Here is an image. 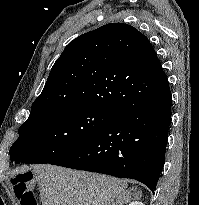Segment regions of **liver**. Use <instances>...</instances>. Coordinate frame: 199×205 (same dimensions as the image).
I'll list each match as a JSON object with an SVG mask.
<instances>
[{"instance_id": "6515ba94", "label": "liver", "mask_w": 199, "mask_h": 205, "mask_svg": "<svg viewBox=\"0 0 199 205\" xmlns=\"http://www.w3.org/2000/svg\"><path fill=\"white\" fill-rule=\"evenodd\" d=\"M42 205H117L141 194L126 190L127 181L53 165L35 167Z\"/></svg>"}]
</instances>
